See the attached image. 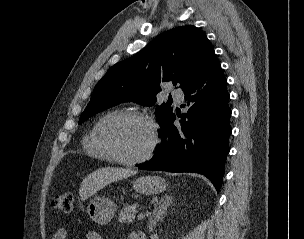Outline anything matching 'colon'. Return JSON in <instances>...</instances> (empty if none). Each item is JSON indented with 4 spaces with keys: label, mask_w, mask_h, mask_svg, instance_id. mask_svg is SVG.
<instances>
[{
    "label": "colon",
    "mask_w": 304,
    "mask_h": 239,
    "mask_svg": "<svg viewBox=\"0 0 304 239\" xmlns=\"http://www.w3.org/2000/svg\"><path fill=\"white\" fill-rule=\"evenodd\" d=\"M73 199L71 193H62L53 198L52 205L61 212L70 213L73 209Z\"/></svg>",
    "instance_id": "5ec220e1"
}]
</instances>
